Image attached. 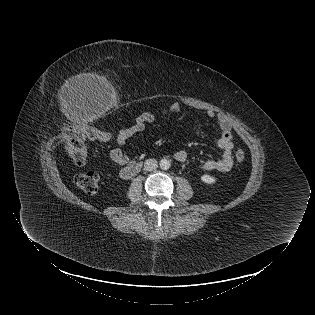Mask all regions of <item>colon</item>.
<instances>
[{
	"instance_id": "5ec220e1",
	"label": "colon",
	"mask_w": 315,
	"mask_h": 315,
	"mask_svg": "<svg viewBox=\"0 0 315 315\" xmlns=\"http://www.w3.org/2000/svg\"><path fill=\"white\" fill-rule=\"evenodd\" d=\"M67 151L73 162L84 165L87 161L88 140L108 141L109 134L90 126L74 127L67 131ZM238 163L245 160V153L238 149L235 153ZM99 176L95 171H87L76 177L77 186L87 194H94L98 190Z\"/></svg>"
}]
</instances>
